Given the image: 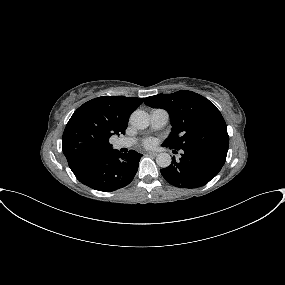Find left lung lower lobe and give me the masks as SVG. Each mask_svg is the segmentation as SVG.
Masks as SVG:
<instances>
[{"instance_id": "left-lung-lower-lobe-1", "label": "left lung lower lobe", "mask_w": 285, "mask_h": 285, "mask_svg": "<svg viewBox=\"0 0 285 285\" xmlns=\"http://www.w3.org/2000/svg\"><path fill=\"white\" fill-rule=\"evenodd\" d=\"M180 161L161 169L165 180L179 188H198L214 178L226 160V153L211 149L184 150Z\"/></svg>"}]
</instances>
